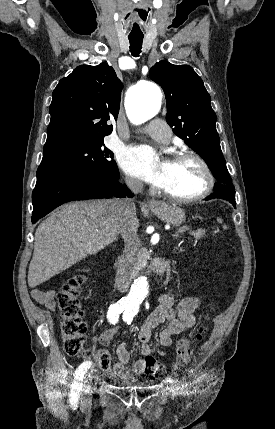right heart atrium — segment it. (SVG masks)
Segmentation results:
<instances>
[{
    "mask_svg": "<svg viewBox=\"0 0 275 429\" xmlns=\"http://www.w3.org/2000/svg\"><path fill=\"white\" fill-rule=\"evenodd\" d=\"M126 183L131 189H139L141 187V183L131 176L126 177Z\"/></svg>",
    "mask_w": 275,
    "mask_h": 429,
    "instance_id": "d8ad5b80",
    "label": "right heart atrium"
}]
</instances>
